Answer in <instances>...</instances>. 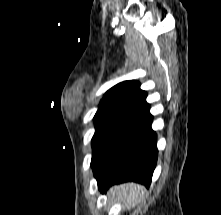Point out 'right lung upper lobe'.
I'll return each instance as SVG.
<instances>
[{
    "label": "right lung upper lobe",
    "instance_id": "1",
    "mask_svg": "<svg viewBox=\"0 0 221 215\" xmlns=\"http://www.w3.org/2000/svg\"><path fill=\"white\" fill-rule=\"evenodd\" d=\"M146 97L147 93L140 89L138 81H124L109 89L100 105H121L139 111L149 106Z\"/></svg>",
    "mask_w": 221,
    "mask_h": 215
}]
</instances>
